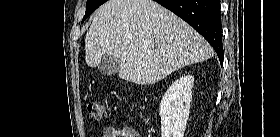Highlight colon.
Instances as JSON below:
<instances>
[{
  "label": "colon",
  "mask_w": 280,
  "mask_h": 137,
  "mask_svg": "<svg viewBox=\"0 0 280 137\" xmlns=\"http://www.w3.org/2000/svg\"><path fill=\"white\" fill-rule=\"evenodd\" d=\"M88 113L98 121L103 120L106 114V106L102 102H90L87 106Z\"/></svg>",
  "instance_id": "1"
}]
</instances>
